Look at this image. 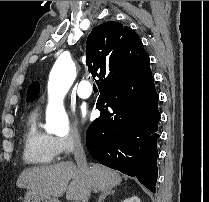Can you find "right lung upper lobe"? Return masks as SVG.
<instances>
[{"mask_svg":"<svg viewBox=\"0 0 209 202\" xmlns=\"http://www.w3.org/2000/svg\"><path fill=\"white\" fill-rule=\"evenodd\" d=\"M86 65L105 89H119L141 79L150 60L139 36L121 23L109 21L96 26L86 43Z\"/></svg>","mask_w":209,"mask_h":202,"instance_id":"obj_1","label":"right lung upper lobe"}]
</instances>
